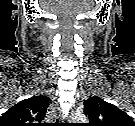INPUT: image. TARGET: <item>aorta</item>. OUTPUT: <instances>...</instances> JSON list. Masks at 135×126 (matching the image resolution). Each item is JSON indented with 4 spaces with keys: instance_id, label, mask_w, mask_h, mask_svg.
<instances>
[{
    "instance_id": "762f6f07",
    "label": "aorta",
    "mask_w": 135,
    "mask_h": 126,
    "mask_svg": "<svg viewBox=\"0 0 135 126\" xmlns=\"http://www.w3.org/2000/svg\"><path fill=\"white\" fill-rule=\"evenodd\" d=\"M73 121H78V122H81V123H85V121H87V118L85 115H75L73 117Z\"/></svg>"
}]
</instances>
